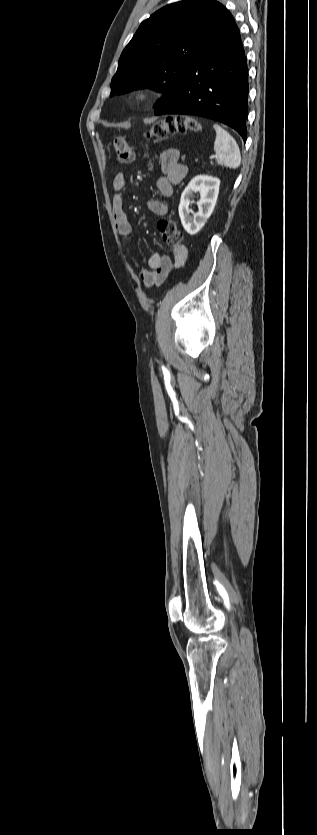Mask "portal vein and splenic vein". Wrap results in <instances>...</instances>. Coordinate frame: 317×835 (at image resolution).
<instances>
[{"label":"portal vein and splenic vein","instance_id":"1","mask_svg":"<svg viewBox=\"0 0 317 835\" xmlns=\"http://www.w3.org/2000/svg\"><path fill=\"white\" fill-rule=\"evenodd\" d=\"M215 159H216V156H215V155L210 156V157H209V162H210V163H212Z\"/></svg>","mask_w":317,"mask_h":835}]
</instances>
